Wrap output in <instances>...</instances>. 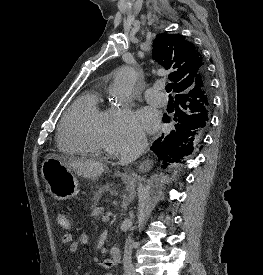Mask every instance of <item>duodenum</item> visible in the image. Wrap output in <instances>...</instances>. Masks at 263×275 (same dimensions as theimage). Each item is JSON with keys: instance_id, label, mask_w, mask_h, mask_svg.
Instances as JSON below:
<instances>
[{"instance_id": "duodenum-1", "label": "duodenum", "mask_w": 263, "mask_h": 275, "mask_svg": "<svg viewBox=\"0 0 263 275\" xmlns=\"http://www.w3.org/2000/svg\"><path fill=\"white\" fill-rule=\"evenodd\" d=\"M121 260V251L117 247H112L110 250V255L103 262L104 266L107 268H111L117 265Z\"/></svg>"}]
</instances>
